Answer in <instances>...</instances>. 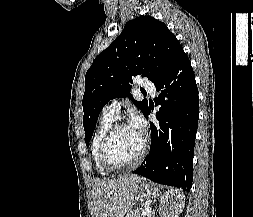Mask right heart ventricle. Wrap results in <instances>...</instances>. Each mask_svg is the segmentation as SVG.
<instances>
[{
    "mask_svg": "<svg viewBox=\"0 0 253 217\" xmlns=\"http://www.w3.org/2000/svg\"><path fill=\"white\" fill-rule=\"evenodd\" d=\"M114 120L115 118L113 117L102 115L98 128L92 139V144H91L92 158H93V161L98 173L101 175H111L113 173V171L106 169L101 164L98 151H99V144L102 137L104 136L106 131L109 129V127L114 123Z\"/></svg>",
    "mask_w": 253,
    "mask_h": 217,
    "instance_id": "1",
    "label": "right heart ventricle"
}]
</instances>
